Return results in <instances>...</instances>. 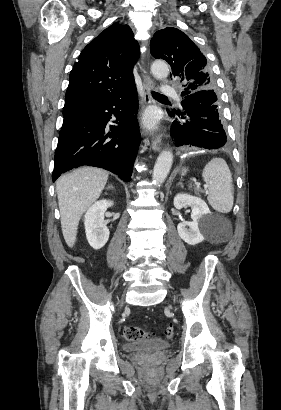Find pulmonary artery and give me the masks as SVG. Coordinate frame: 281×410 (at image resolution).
<instances>
[{
    "label": "pulmonary artery",
    "mask_w": 281,
    "mask_h": 410,
    "mask_svg": "<svg viewBox=\"0 0 281 410\" xmlns=\"http://www.w3.org/2000/svg\"><path fill=\"white\" fill-rule=\"evenodd\" d=\"M161 91H162L164 94H174V93L176 92L174 86H171V85H165V86H163V87L161 88Z\"/></svg>",
    "instance_id": "pulmonary-artery-1"
}]
</instances>
